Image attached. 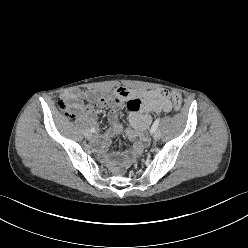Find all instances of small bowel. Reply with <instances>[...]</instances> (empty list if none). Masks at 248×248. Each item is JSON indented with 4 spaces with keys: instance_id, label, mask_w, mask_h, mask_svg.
<instances>
[{
    "instance_id": "1",
    "label": "small bowel",
    "mask_w": 248,
    "mask_h": 248,
    "mask_svg": "<svg viewBox=\"0 0 248 248\" xmlns=\"http://www.w3.org/2000/svg\"><path fill=\"white\" fill-rule=\"evenodd\" d=\"M78 95L75 92H64L61 97L67 101L68 108L74 113L84 112L93 114L92 107H84L78 101ZM88 98L95 102L99 107H110L109 121L111 130L104 134L103 139L95 140V144L104 150L110 144V138L122 131V125L116 113V107L121 102H127L129 110V122L132 130L128 132L129 136H139L140 140L133 154L137 153L145 144L146 139L143 132L149 127L152 118L150 113L160 114L168 113L172 109V104L168 97L164 96V90L160 89H131L119 87L111 92L91 90ZM131 155H123L120 160L126 163L130 160Z\"/></svg>"
}]
</instances>
